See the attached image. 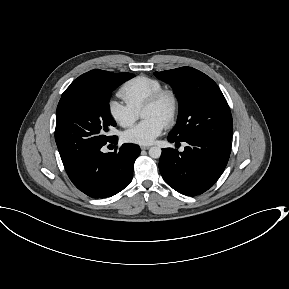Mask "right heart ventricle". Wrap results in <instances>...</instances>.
Here are the masks:
<instances>
[{"instance_id":"obj_1","label":"right heart ventricle","mask_w":289,"mask_h":289,"mask_svg":"<svg viewBox=\"0 0 289 289\" xmlns=\"http://www.w3.org/2000/svg\"><path fill=\"white\" fill-rule=\"evenodd\" d=\"M162 88L163 85L159 80L140 75L127 81L120 88L119 95L127 105L139 112L145 101Z\"/></svg>"}]
</instances>
